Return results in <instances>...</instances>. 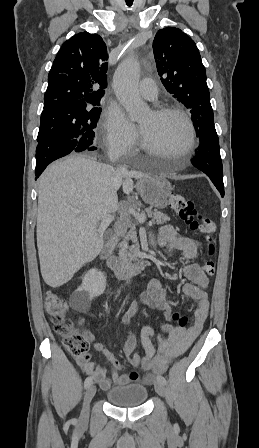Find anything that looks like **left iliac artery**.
<instances>
[{"mask_svg":"<svg viewBox=\"0 0 259 448\" xmlns=\"http://www.w3.org/2000/svg\"><path fill=\"white\" fill-rule=\"evenodd\" d=\"M158 341H159V343L162 342L161 335H158ZM157 380H158L160 383L164 384V385L167 383V382H166V379H165L163 376H161V375L157 376Z\"/></svg>","mask_w":259,"mask_h":448,"instance_id":"1","label":"left iliac artery"}]
</instances>
